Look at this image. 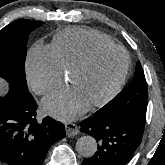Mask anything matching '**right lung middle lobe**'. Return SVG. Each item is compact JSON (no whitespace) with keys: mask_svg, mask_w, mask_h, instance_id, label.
<instances>
[{"mask_svg":"<svg viewBox=\"0 0 165 165\" xmlns=\"http://www.w3.org/2000/svg\"><path fill=\"white\" fill-rule=\"evenodd\" d=\"M41 21L16 20L0 30V77L27 89L25 76L26 46L29 34Z\"/></svg>","mask_w":165,"mask_h":165,"instance_id":"1","label":"right lung middle lobe"}]
</instances>
